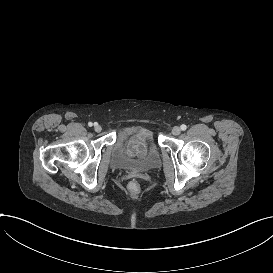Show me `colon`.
<instances>
[{"label":"colon","instance_id":"1","mask_svg":"<svg viewBox=\"0 0 273 273\" xmlns=\"http://www.w3.org/2000/svg\"><path fill=\"white\" fill-rule=\"evenodd\" d=\"M124 193L129 198H136L141 193V186L137 181H129L124 186Z\"/></svg>","mask_w":273,"mask_h":273}]
</instances>
